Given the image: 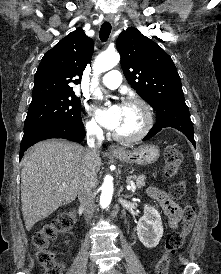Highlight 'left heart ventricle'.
I'll return each mask as SVG.
<instances>
[{
	"mask_svg": "<svg viewBox=\"0 0 221 274\" xmlns=\"http://www.w3.org/2000/svg\"><path fill=\"white\" fill-rule=\"evenodd\" d=\"M143 123V111L138 105H122L119 124L114 131L122 135H132L142 128Z\"/></svg>",
	"mask_w": 221,
	"mask_h": 274,
	"instance_id": "left-heart-ventricle-1",
	"label": "left heart ventricle"
}]
</instances>
